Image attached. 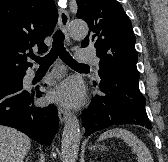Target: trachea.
Segmentation results:
<instances>
[{"mask_svg":"<svg viewBox=\"0 0 168 162\" xmlns=\"http://www.w3.org/2000/svg\"><path fill=\"white\" fill-rule=\"evenodd\" d=\"M69 65L71 68L89 67L86 64H80L74 60L64 47V34L58 30L53 37L51 51L44 57L31 56V59L37 62L40 67H49L57 58Z\"/></svg>","mask_w":168,"mask_h":162,"instance_id":"trachea-1","label":"trachea"}]
</instances>
